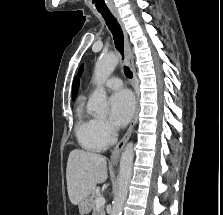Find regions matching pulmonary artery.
Returning a JSON list of instances; mask_svg holds the SVG:
<instances>
[{
  "mask_svg": "<svg viewBox=\"0 0 223 215\" xmlns=\"http://www.w3.org/2000/svg\"><path fill=\"white\" fill-rule=\"evenodd\" d=\"M104 85L109 89H119L123 86V81L116 76H111L105 81Z\"/></svg>",
  "mask_w": 223,
  "mask_h": 215,
  "instance_id": "e3ab8cb5",
  "label": "pulmonary artery"
}]
</instances>
